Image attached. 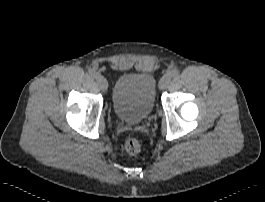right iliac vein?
<instances>
[{
  "instance_id": "63e3f726",
  "label": "right iliac vein",
  "mask_w": 265,
  "mask_h": 202,
  "mask_svg": "<svg viewBox=\"0 0 265 202\" xmlns=\"http://www.w3.org/2000/svg\"><path fill=\"white\" fill-rule=\"evenodd\" d=\"M96 82H97L98 87L101 90L104 91V90H106L108 88L107 80L102 75H97L96 76Z\"/></svg>"
}]
</instances>
